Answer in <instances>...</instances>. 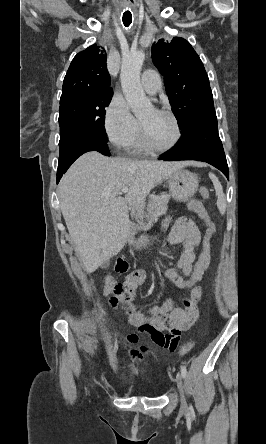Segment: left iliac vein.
Returning a JSON list of instances; mask_svg holds the SVG:
<instances>
[{
    "mask_svg": "<svg viewBox=\"0 0 266 444\" xmlns=\"http://www.w3.org/2000/svg\"><path fill=\"white\" fill-rule=\"evenodd\" d=\"M177 388L180 396L181 406L185 408L187 406L185 395H184V380L182 374H178L176 378Z\"/></svg>",
    "mask_w": 266,
    "mask_h": 444,
    "instance_id": "4c4485c4",
    "label": "left iliac vein"
}]
</instances>
